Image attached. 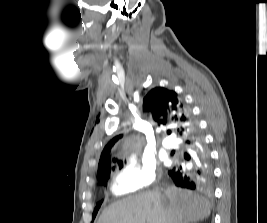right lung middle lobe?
Returning <instances> with one entry per match:
<instances>
[{"instance_id":"dd1d6c3e","label":"right lung middle lobe","mask_w":267,"mask_h":223,"mask_svg":"<svg viewBox=\"0 0 267 223\" xmlns=\"http://www.w3.org/2000/svg\"><path fill=\"white\" fill-rule=\"evenodd\" d=\"M110 169H111V168H109V169L103 174V176L100 178L101 181L106 182V181L108 180V178L110 177ZM101 203H102V202H99V203L97 204V206H96V208H95V210H94V213H93V217L96 216L97 211H98V209H99Z\"/></svg>"}]
</instances>
